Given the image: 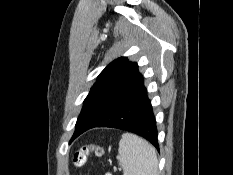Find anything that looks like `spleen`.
I'll use <instances>...</instances> for the list:
<instances>
[{"mask_svg":"<svg viewBox=\"0 0 233 175\" xmlns=\"http://www.w3.org/2000/svg\"><path fill=\"white\" fill-rule=\"evenodd\" d=\"M117 159L124 175H159L155 148L135 134L122 135Z\"/></svg>","mask_w":233,"mask_h":175,"instance_id":"1","label":"spleen"}]
</instances>
